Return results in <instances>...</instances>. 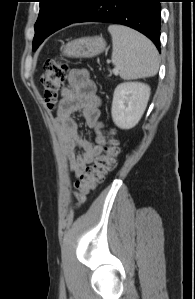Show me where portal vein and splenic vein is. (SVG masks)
I'll return each mask as SVG.
<instances>
[{
	"instance_id": "1",
	"label": "portal vein and splenic vein",
	"mask_w": 195,
	"mask_h": 299,
	"mask_svg": "<svg viewBox=\"0 0 195 299\" xmlns=\"http://www.w3.org/2000/svg\"><path fill=\"white\" fill-rule=\"evenodd\" d=\"M113 71H114V73H118V69H114Z\"/></svg>"
}]
</instances>
